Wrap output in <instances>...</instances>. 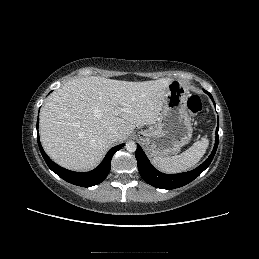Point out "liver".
I'll return each mask as SVG.
<instances>
[{
    "label": "liver",
    "mask_w": 259,
    "mask_h": 259,
    "mask_svg": "<svg viewBox=\"0 0 259 259\" xmlns=\"http://www.w3.org/2000/svg\"><path fill=\"white\" fill-rule=\"evenodd\" d=\"M170 78L129 82L96 76L74 79L54 91L40 114L42 146L57 164L88 171L103 159L110 142L107 131L124 141L136 126L159 119Z\"/></svg>",
    "instance_id": "6515ba94"
}]
</instances>
